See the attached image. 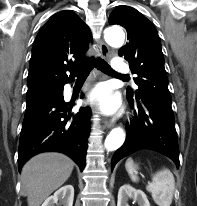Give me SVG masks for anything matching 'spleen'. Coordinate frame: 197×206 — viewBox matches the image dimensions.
I'll return each instance as SVG.
<instances>
[{"label": "spleen", "mask_w": 197, "mask_h": 206, "mask_svg": "<svg viewBox=\"0 0 197 206\" xmlns=\"http://www.w3.org/2000/svg\"><path fill=\"white\" fill-rule=\"evenodd\" d=\"M125 168L133 182L138 181L136 168L132 158H128ZM146 190L151 193L154 202L158 206H170L175 190V179L167 168L158 171L152 176V183L148 184Z\"/></svg>", "instance_id": "3e777b00"}]
</instances>
